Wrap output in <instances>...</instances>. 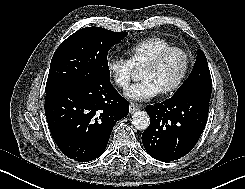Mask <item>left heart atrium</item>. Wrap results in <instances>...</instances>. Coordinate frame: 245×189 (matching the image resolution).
Segmentation results:
<instances>
[{
    "instance_id": "left-heart-atrium-1",
    "label": "left heart atrium",
    "mask_w": 245,
    "mask_h": 189,
    "mask_svg": "<svg viewBox=\"0 0 245 189\" xmlns=\"http://www.w3.org/2000/svg\"><path fill=\"white\" fill-rule=\"evenodd\" d=\"M160 92V89L150 80H141L130 86L125 96L134 101H146L156 97Z\"/></svg>"
}]
</instances>
